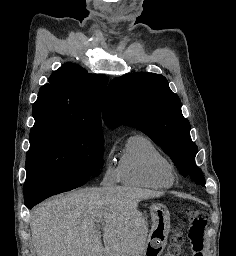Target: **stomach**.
<instances>
[{
	"mask_svg": "<svg viewBox=\"0 0 236 256\" xmlns=\"http://www.w3.org/2000/svg\"><path fill=\"white\" fill-rule=\"evenodd\" d=\"M152 229L140 256H160L166 246L170 229V214L166 206L153 204L150 207Z\"/></svg>",
	"mask_w": 236,
	"mask_h": 256,
	"instance_id": "0dacf381",
	"label": "stomach"
}]
</instances>
